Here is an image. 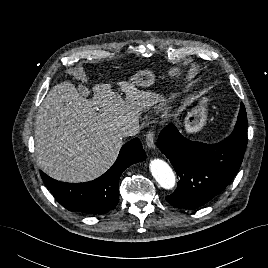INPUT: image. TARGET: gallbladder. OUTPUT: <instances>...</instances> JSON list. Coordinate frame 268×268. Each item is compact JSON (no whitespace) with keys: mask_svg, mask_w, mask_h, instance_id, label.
<instances>
[{"mask_svg":"<svg viewBox=\"0 0 268 268\" xmlns=\"http://www.w3.org/2000/svg\"><path fill=\"white\" fill-rule=\"evenodd\" d=\"M79 93L84 95L86 93V88L80 86L79 87Z\"/></svg>","mask_w":268,"mask_h":268,"instance_id":"bac80fb5","label":"gallbladder"}]
</instances>
